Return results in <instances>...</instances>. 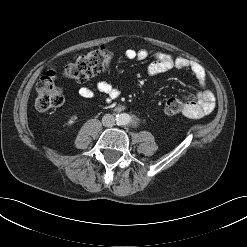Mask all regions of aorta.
<instances>
[{
    "mask_svg": "<svg viewBox=\"0 0 247 247\" xmlns=\"http://www.w3.org/2000/svg\"><path fill=\"white\" fill-rule=\"evenodd\" d=\"M131 121V116L127 113H121L116 116V122L118 125H127Z\"/></svg>",
    "mask_w": 247,
    "mask_h": 247,
    "instance_id": "762f6f07",
    "label": "aorta"
}]
</instances>
